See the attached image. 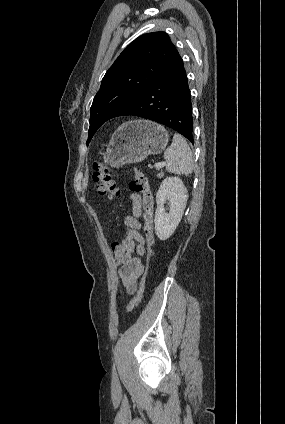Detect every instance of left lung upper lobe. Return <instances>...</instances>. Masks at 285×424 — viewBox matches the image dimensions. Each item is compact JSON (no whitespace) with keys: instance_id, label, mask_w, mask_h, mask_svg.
<instances>
[{"instance_id":"obj_1","label":"left lung upper lobe","mask_w":285,"mask_h":424,"mask_svg":"<svg viewBox=\"0 0 285 424\" xmlns=\"http://www.w3.org/2000/svg\"><path fill=\"white\" fill-rule=\"evenodd\" d=\"M174 50L175 46L165 32L143 34L123 50L106 72L94 97L87 145L101 125L159 76Z\"/></svg>"}]
</instances>
